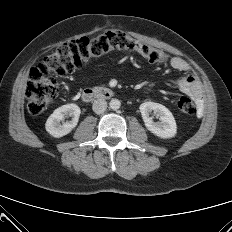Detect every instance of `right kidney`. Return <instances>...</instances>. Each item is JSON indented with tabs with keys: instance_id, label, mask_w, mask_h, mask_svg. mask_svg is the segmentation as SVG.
Here are the masks:
<instances>
[{
	"instance_id": "right-kidney-1",
	"label": "right kidney",
	"mask_w": 232,
	"mask_h": 232,
	"mask_svg": "<svg viewBox=\"0 0 232 232\" xmlns=\"http://www.w3.org/2000/svg\"><path fill=\"white\" fill-rule=\"evenodd\" d=\"M80 113L79 106L73 103L57 108L46 121V131L55 138L67 135L77 126ZM67 116L72 117V120L61 124L60 122Z\"/></svg>"
}]
</instances>
